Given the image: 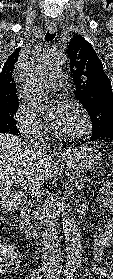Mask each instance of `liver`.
Wrapping results in <instances>:
<instances>
[{"instance_id":"liver-1","label":"liver","mask_w":113,"mask_h":279,"mask_svg":"<svg viewBox=\"0 0 113 279\" xmlns=\"http://www.w3.org/2000/svg\"><path fill=\"white\" fill-rule=\"evenodd\" d=\"M17 177L39 187L51 177L49 159L37 155L18 137L0 133V211L8 206Z\"/></svg>"}]
</instances>
